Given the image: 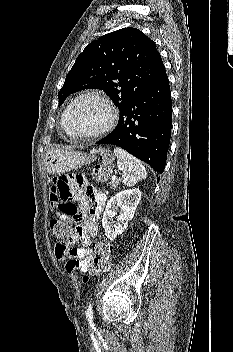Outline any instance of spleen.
<instances>
[{
    "label": "spleen",
    "instance_id": "obj_1",
    "mask_svg": "<svg viewBox=\"0 0 233 352\" xmlns=\"http://www.w3.org/2000/svg\"><path fill=\"white\" fill-rule=\"evenodd\" d=\"M114 153L117 157V167L123 173L122 179L126 186H134L139 180L146 179L147 172L141 161L119 147L114 148Z\"/></svg>",
    "mask_w": 233,
    "mask_h": 352
}]
</instances>
